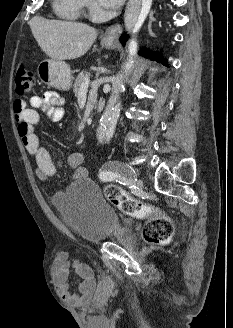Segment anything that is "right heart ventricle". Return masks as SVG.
<instances>
[{"label":"right heart ventricle","instance_id":"e07e8e85","mask_svg":"<svg viewBox=\"0 0 233 328\" xmlns=\"http://www.w3.org/2000/svg\"><path fill=\"white\" fill-rule=\"evenodd\" d=\"M54 8L63 18L77 19L83 6L81 0H54Z\"/></svg>","mask_w":233,"mask_h":328}]
</instances>
